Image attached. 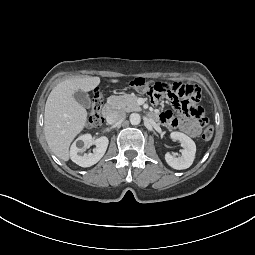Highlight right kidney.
Here are the masks:
<instances>
[{
  "label": "right kidney",
  "instance_id": "obj_1",
  "mask_svg": "<svg viewBox=\"0 0 255 255\" xmlns=\"http://www.w3.org/2000/svg\"><path fill=\"white\" fill-rule=\"evenodd\" d=\"M96 145L93 153H84L83 149L88 145ZM109 140L107 137L102 136L100 138L94 139L90 134H84L78 137L70 148L71 160L81 167H90L96 164L105 154Z\"/></svg>",
  "mask_w": 255,
  "mask_h": 255
}]
</instances>
